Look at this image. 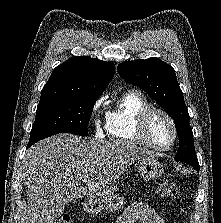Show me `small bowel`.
Wrapping results in <instances>:
<instances>
[{
	"label": "small bowel",
	"instance_id": "small-bowel-1",
	"mask_svg": "<svg viewBox=\"0 0 221 223\" xmlns=\"http://www.w3.org/2000/svg\"><path fill=\"white\" fill-rule=\"evenodd\" d=\"M118 223H166V221L153 207L138 202L123 211Z\"/></svg>",
	"mask_w": 221,
	"mask_h": 223
}]
</instances>
